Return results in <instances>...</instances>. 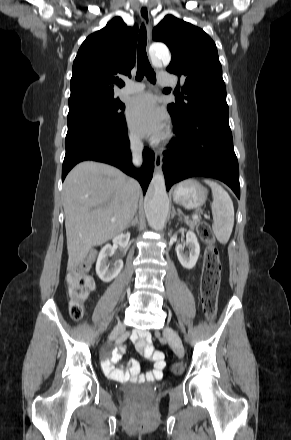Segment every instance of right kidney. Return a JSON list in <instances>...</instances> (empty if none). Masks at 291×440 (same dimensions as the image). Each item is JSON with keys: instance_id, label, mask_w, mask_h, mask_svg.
Listing matches in <instances>:
<instances>
[{"instance_id": "ca27d5eb", "label": "right kidney", "mask_w": 291, "mask_h": 440, "mask_svg": "<svg viewBox=\"0 0 291 440\" xmlns=\"http://www.w3.org/2000/svg\"><path fill=\"white\" fill-rule=\"evenodd\" d=\"M130 239V233L120 234L113 238V244L125 247ZM114 253V247L106 244L99 252L96 262V273L98 277L104 282H110L118 276L123 268V261L117 260L111 266L108 262V257Z\"/></svg>"}]
</instances>
